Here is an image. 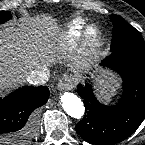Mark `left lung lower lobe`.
Segmentation results:
<instances>
[{"instance_id": "left-lung-lower-lobe-1", "label": "left lung lower lobe", "mask_w": 145, "mask_h": 145, "mask_svg": "<svg viewBox=\"0 0 145 145\" xmlns=\"http://www.w3.org/2000/svg\"><path fill=\"white\" fill-rule=\"evenodd\" d=\"M101 66L111 67L122 76L121 99L115 106H105L97 101L89 84L78 85L86 113L76 131L91 144L111 145L132 135L145 118V54L112 51Z\"/></svg>"}]
</instances>
